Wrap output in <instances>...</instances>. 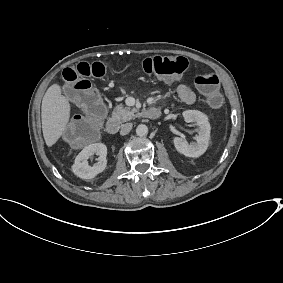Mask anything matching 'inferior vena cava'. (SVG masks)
<instances>
[{"label":"inferior vena cava","mask_w":283,"mask_h":283,"mask_svg":"<svg viewBox=\"0 0 283 283\" xmlns=\"http://www.w3.org/2000/svg\"><path fill=\"white\" fill-rule=\"evenodd\" d=\"M131 129H132V123H125V124L121 125L120 134L126 135L131 131Z\"/></svg>","instance_id":"obj_1"}]
</instances>
